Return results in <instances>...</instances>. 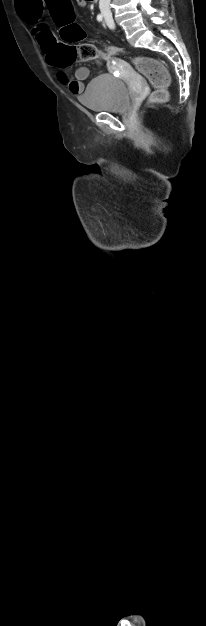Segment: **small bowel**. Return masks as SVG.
<instances>
[{
    "instance_id": "small-bowel-1",
    "label": "small bowel",
    "mask_w": 206,
    "mask_h": 626,
    "mask_svg": "<svg viewBox=\"0 0 206 626\" xmlns=\"http://www.w3.org/2000/svg\"><path fill=\"white\" fill-rule=\"evenodd\" d=\"M78 7L85 8L87 6L86 0H76ZM33 34L36 38L42 52L45 54L47 61L54 64L53 58L55 48L58 45L56 39L46 30L42 24H36L33 28ZM112 64L117 67H124L125 63L117 59H112ZM57 66V65H56ZM89 76V70L86 67H79L76 69L73 76H70L67 72L61 70L57 73V78L61 83L69 88L72 94L79 95L84 91V80Z\"/></svg>"
}]
</instances>
